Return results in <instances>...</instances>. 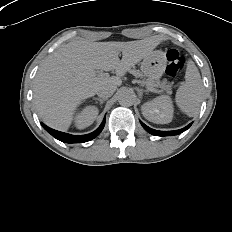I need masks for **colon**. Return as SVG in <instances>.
Listing matches in <instances>:
<instances>
[{"label":"colon","mask_w":232,"mask_h":232,"mask_svg":"<svg viewBox=\"0 0 232 232\" xmlns=\"http://www.w3.org/2000/svg\"><path fill=\"white\" fill-rule=\"evenodd\" d=\"M167 62V73L176 76L183 69L185 58L177 50H170L167 53Z\"/></svg>","instance_id":"colon-1"}]
</instances>
